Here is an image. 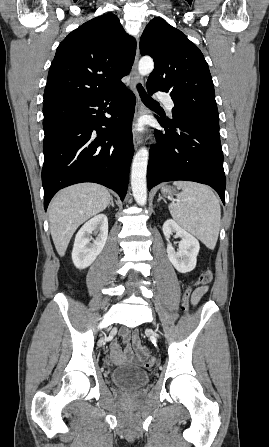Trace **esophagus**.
<instances>
[{
  "label": "esophagus",
  "instance_id": "34e87169",
  "mask_svg": "<svg viewBox=\"0 0 269 447\" xmlns=\"http://www.w3.org/2000/svg\"><path fill=\"white\" fill-rule=\"evenodd\" d=\"M139 38L137 37V47H136V55L134 59V63L131 70V83H130V89L135 95L136 99V107H135V115H134V125L137 124V119L139 116L143 114V104L141 102V98L138 92L137 86L140 84V76L138 73V61H139ZM142 136L139 134L136 130L133 131V142L134 147L137 149L139 145L141 144Z\"/></svg>",
  "mask_w": 269,
  "mask_h": 447
}]
</instances>
